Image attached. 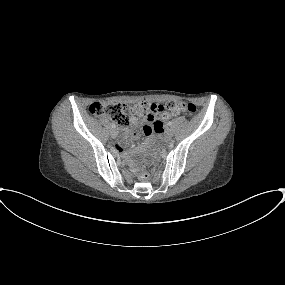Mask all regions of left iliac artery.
<instances>
[{
    "instance_id": "1",
    "label": "left iliac artery",
    "mask_w": 285,
    "mask_h": 285,
    "mask_svg": "<svg viewBox=\"0 0 285 285\" xmlns=\"http://www.w3.org/2000/svg\"><path fill=\"white\" fill-rule=\"evenodd\" d=\"M168 125H169V126H171V125H172V122H171V121H169V122H168Z\"/></svg>"
}]
</instances>
